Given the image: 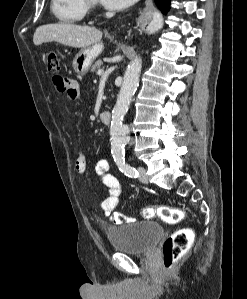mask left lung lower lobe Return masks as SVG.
Returning <instances> with one entry per match:
<instances>
[{"label":"left lung lower lobe","instance_id":"1","mask_svg":"<svg viewBox=\"0 0 247 299\" xmlns=\"http://www.w3.org/2000/svg\"><path fill=\"white\" fill-rule=\"evenodd\" d=\"M155 2L163 13H166L170 8V0H155Z\"/></svg>","mask_w":247,"mask_h":299}]
</instances>
